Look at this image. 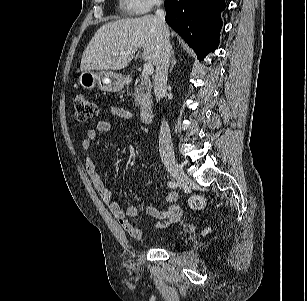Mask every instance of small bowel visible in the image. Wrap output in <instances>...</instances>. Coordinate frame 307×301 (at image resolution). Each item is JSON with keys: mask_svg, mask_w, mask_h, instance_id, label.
<instances>
[{"mask_svg": "<svg viewBox=\"0 0 307 301\" xmlns=\"http://www.w3.org/2000/svg\"><path fill=\"white\" fill-rule=\"evenodd\" d=\"M111 114L120 119L136 118V114L134 112L118 106H113L111 108ZM111 128L112 125L109 121L99 120L96 123L95 128L87 131L86 137L81 142L82 149L84 151L91 150L93 142L98 135L110 132ZM85 171L93 186L98 191L100 197L107 204L109 211L119 223L120 227L132 238H142L143 230L135 227L131 222L132 219H136L138 217V208L135 205H129L126 208H123L113 200L110 189L102 180L93 159L89 156L85 159ZM177 197V193L174 191H169L164 194L163 200L169 205L166 209H159L153 205H147V213L160 219V221L156 222V227H163L171 222L177 221L181 217V210L175 205Z\"/></svg>", "mask_w": 307, "mask_h": 301, "instance_id": "c3829d8e", "label": "small bowel"}]
</instances>
